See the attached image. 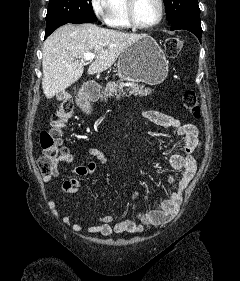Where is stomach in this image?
<instances>
[{"mask_svg": "<svg viewBox=\"0 0 240 281\" xmlns=\"http://www.w3.org/2000/svg\"><path fill=\"white\" fill-rule=\"evenodd\" d=\"M117 69L123 80L157 85L168 75V61L158 43L146 35L121 53Z\"/></svg>", "mask_w": 240, "mask_h": 281, "instance_id": "obj_1", "label": "stomach"}]
</instances>
